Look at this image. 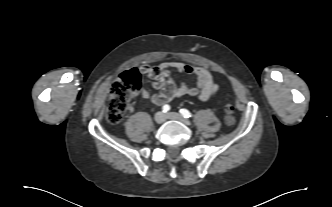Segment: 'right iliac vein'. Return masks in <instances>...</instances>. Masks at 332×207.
I'll return each mask as SVG.
<instances>
[{"instance_id":"right-iliac-vein-1","label":"right iliac vein","mask_w":332,"mask_h":207,"mask_svg":"<svg viewBox=\"0 0 332 207\" xmlns=\"http://www.w3.org/2000/svg\"><path fill=\"white\" fill-rule=\"evenodd\" d=\"M154 119L157 124H162L166 120V115L163 112H157Z\"/></svg>"}]
</instances>
